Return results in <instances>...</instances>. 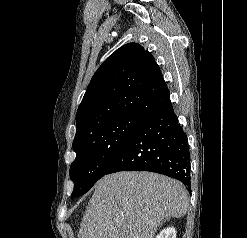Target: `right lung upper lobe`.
I'll return each instance as SVG.
<instances>
[{"mask_svg": "<svg viewBox=\"0 0 247 238\" xmlns=\"http://www.w3.org/2000/svg\"><path fill=\"white\" fill-rule=\"evenodd\" d=\"M170 103V93L154 57L137 43L116 50L99 67L76 114L77 139L112 120L145 118Z\"/></svg>", "mask_w": 247, "mask_h": 238, "instance_id": "cb5924a9", "label": "right lung upper lobe"}]
</instances>
